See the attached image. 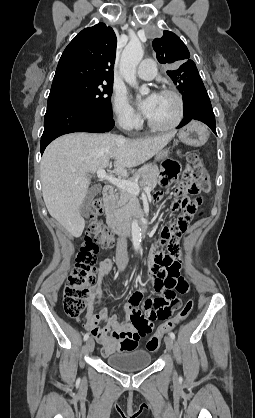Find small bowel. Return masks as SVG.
Returning <instances> with one entry per match:
<instances>
[{"label":"small bowel","instance_id":"c3829d8e","mask_svg":"<svg viewBox=\"0 0 255 418\" xmlns=\"http://www.w3.org/2000/svg\"><path fill=\"white\" fill-rule=\"evenodd\" d=\"M178 153L180 158L184 157L182 149H179ZM178 172L177 162H165L161 182L164 185L171 183ZM178 192H182V188ZM173 208L176 210L175 206ZM188 225L189 221L179 219L176 228L163 227L160 237H154L152 242L148 243L149 247L154 248L148 262V280L154 291L161 295L144 299L145 312L142 313L136 306L142 301L143 295L141 292H136L130 302L123 306L124 314L131 316L132 322L121 320L117 315L108 317L105 308L96 312L102 281L114 268V261L110 258L101 263L99 281L91 291L86 328L99 343L104 357L116 352L134 350L139 340L151 332L157 320H171L176 311L183 308L184 297H187L190 286L180 276L179 259L182 242L179 238ZM100 321H103L104 325L99 326Z\"/></svg>","mask_w":255,"mask_h":418}]
</instances>
